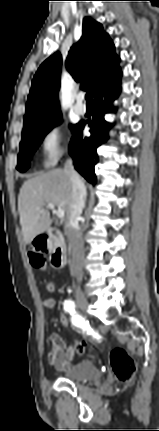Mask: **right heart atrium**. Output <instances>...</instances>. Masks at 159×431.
<instances>
[{
    "label": "right heart atrium",
    "mask_w": 159,
    "mask_h": 431,
    "mask_svg": "<svg viewBox=\"0 0 159 431\" xmlns=\"http://www.w3.org/2000/svg\"><path fill=\"white\" fill-rule=\"evenodd\" d=\"M42 163L45 167L55 165L66 152L64 134L58 123H52L42 133L39 141Z\"/></svg>",
    "instance_id": "obj_1"
}]
</instances>
